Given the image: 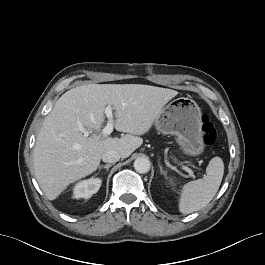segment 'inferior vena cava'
<instances>
[{
	"instance_id": "1",
	"label": "inferior vena cava",
	"mask_w": 265,
	"mask_h": 265,
	"mask_svg": "<svg viewBox=\"0 0 265 265\" xmlns=\"http://www.w3.org/2000/svg\"><path fill=\"white\" fill-rule=\"evenodd\" d=\"M121 155L115 150H107L102 154V160L106 163H115L119 161Z\"/></svg>"
}]
</instances>
